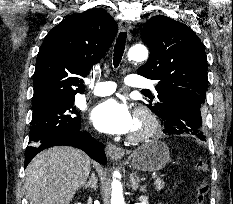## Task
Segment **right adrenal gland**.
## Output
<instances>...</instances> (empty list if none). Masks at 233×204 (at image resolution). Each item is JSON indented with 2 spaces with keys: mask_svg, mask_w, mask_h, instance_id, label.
Masks as SVG:
<instances>
[{
  "mask_svg": "<svg viewBox=\"0 0 233 204\" xmlns=\"http://www.w3.org/2000/svg\"><path fill=\"white\" fill-rule=\"evenodd\" d=\"M97 177L95 176V173L92 172L91 177L89 179V181L84 185V187L87 188H91L93 190L97 189Z\"/></svg>",
  "mask_w": 233,
  "mask_h": 204,
  "instance_id": "obj_1",
  "label": "right adrenal gland"
}]
</instances>
